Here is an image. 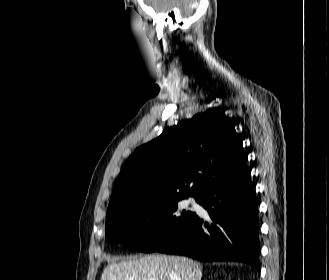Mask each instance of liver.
<instances>
[{"label":"liver","instance_id":"6515ba94","mask_svg":"<svg viewBox=\"0 0 329 280\" xmlns=\"http://www.w3.org/2000/svg\"><path fill=\"white\" fill-rule=\"evenodd\" d=\"M116 260L105 267L101 280H200L202 277L200 264L187 257L149 255Z\"/></svg>","mask_w":329,"mask_h":280}]
</instances>
